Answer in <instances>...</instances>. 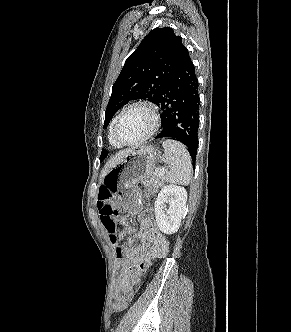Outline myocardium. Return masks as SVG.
<instances>
[{
	"instance_id": "f54148a6",
	"label": "myocardium",
	"mask_w": 291,
	"mask_h": 332,
	"mask_svg": "<svg viewBox=\"0 0 291 332\" xmlns=\"http://www.w3.org/2000/svg\"><path fill=\"white\" fill-rule=\"evenodd\" d=\"M134 107H142L145 108L151 116L152 119V126L151 129L149 130V132L147 134H145L143 137L134 140V141H124L122 140L117 133V128H118V123L120 118L122 117V115L129 109L134 108ZM160 124H161V119H160V114H159V110L157 108V106L147 100H137L134 102L129 103L128 105H126L116 116L114 123H113V136L115 138V140L120 143L121 145H138L141 144L143 142H145L146 140L150 139L152 136H154L157 131L160 128Z\"/></svg>"
}]
</instances>
